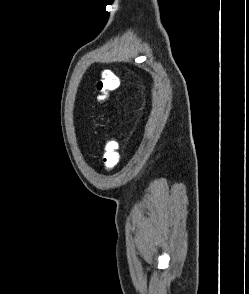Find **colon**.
<instances>
[{
    "mask_svg": "<svg viewBox=\"0 0 249 294\" xmlns=\"http://www.w3.org/2000/svg\"><path fill=\"white\" fill-rule=\"evenodd\" d=\"M119 86V78L115 77L113 80L101 77L98 81V88L96 94V102L102 106L106 107L113 92ZM117 144L115 142H109L106 145V153L104 156V165L106 169H112L116 166L119 160V154L116 150Z\"/></svg>",
    "mask_w": 249,
    "mask_h": 294,
    "instance_id": "1",
    "label": "colon"
}]
</instances>
